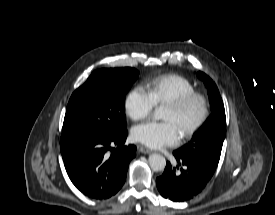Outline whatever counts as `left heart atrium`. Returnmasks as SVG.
<instances>
[{
  "label": "left heart atrium",
  "mask_w": 275,
  "mask_h": 215,
  "mask_svg": "<svg viewBox=\"0 0 275 215\" xmlns=\"http://www.w3.org/2000/svg\"><path fill=\"white\" fill-rule=\"evenodd\" d=\"M132 137L135 141L151 148L174 145L179 141L180 133L172 121H149L136 125L132 129Z\"/></svg>",
  "instance_id": "obj_1"
}]
</instances>
